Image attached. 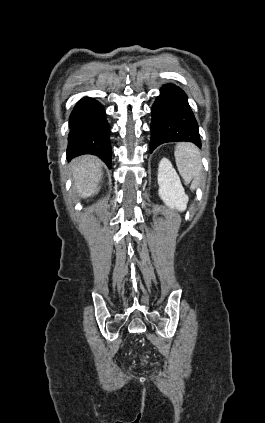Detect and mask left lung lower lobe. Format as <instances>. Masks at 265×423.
<instances>
[{
	"mask_svg": "<svg viewBox=\"0 0 265 423\" xmlns=\"http://www.w3.org/2000/svg\"><path fill=\"white\" fill-rule=\"evenodd\" d=\"M150 151L173 141H188L201 146L198 124L184 91L166 84L153 104Z\"/></svg>",
	"mask_w": 265,
	"mask_h": 423,
	"instance_id": "0a47b994",
	"label": "left lung lower lobe"
}]
</instances>
